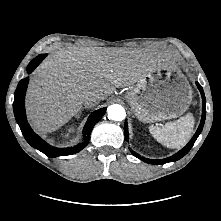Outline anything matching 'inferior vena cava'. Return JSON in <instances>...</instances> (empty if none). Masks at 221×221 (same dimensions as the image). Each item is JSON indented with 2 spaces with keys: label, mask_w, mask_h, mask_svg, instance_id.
<instances>
[{
  "label": "inferior vena cava",
  "mask_w": 221,
  "mask_h": 221,
  "mask_svg": "<svg viewBox=\"0 0 221 221\" xmlns=\"http://www.w3.org/2000/svg\"><path fill=\"white\" fill-rule=\"evenodd\" d=\"M99 102V96L94 92H87L83 96V104L85 107H92Z\"/></svg>",
  "instance_id": "1"
}]
</instances>
